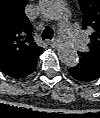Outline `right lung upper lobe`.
Segmentation results:
<instances>
[{
	"mask_svg": "<svg viewBox=\"0 0 100 118\" xmlns=\"http://www.w3.org/2000/svg\"><path fill=\"white\" fill-rule=\"evenodd\" d=\"M27 0L0 1V68L10 77H26L42 52L32 38L25 15Z\"/></svg>",
	"mask_w": 100,
	"mask_h": 118,
	"instance_id": "right-lung-upper-lobe-1",
	"label": "right lung upper lobe"
}]
</instances>
